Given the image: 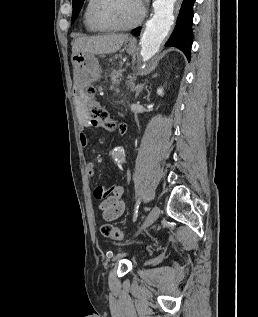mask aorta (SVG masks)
<instances>
[{"instance_id":"aorta-1","label":"aorta","mask_w":258,"mask_h":317,"mask_svg":"<svg viewBox=\"0 0 258 317\" xmlns=\"http://www.w3.org/2000/svg\"><path fill=\"white\" fill-rule=\"evenodd\" d=\"M176 1L155 0L153 17L146 22V27L140 40L141 56L144 62L151 59L159 51L162 42L173 25V12ZM114 157L122 162L125 157L124 150L117 148Z\"/></svg>"}]
</instances>
